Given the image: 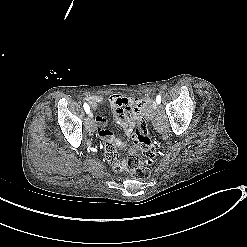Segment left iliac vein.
Instances as JSON below:
<instances>
[{
	"label": "left iliac vein",
	"mask_w": 247,
	"mask_h": 247,
	"mask_svg": "<svg viewBox=\"0 0 247 247\" xmlns=\"http://www.w3.org/2000/svg\"><path fill=\"white\" fill-rule=\"evenodd\" d=\"M159 106H158V103L157 102H154V104H153V108L154 109H157Z\"/></svg>",
	"instance_id": "1"
}]
</instances>
